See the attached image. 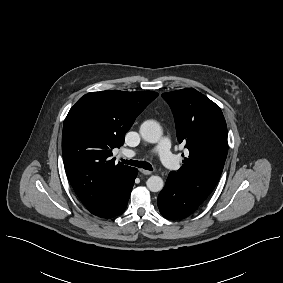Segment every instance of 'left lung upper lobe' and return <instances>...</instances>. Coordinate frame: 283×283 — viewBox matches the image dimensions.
I'll return each mask as SVG.
<instances>
[{"instance_id":"1","label":"left lung upper lobe","mask_w":283,"mask_h":283,"mask_svg":"<svg viewBox=\"0 0 283 283\" xmlns=\"http://www.w3.org/2000/svg\"><path fill=\"white\" fill-rule=\"evenodd\" d=\"M174 115L177 139L186 143L188 158L169 175L198 203L216 186L226 160L227 126L219 106L193 88L163 93Z\"/></svg>"}]
</instances>
